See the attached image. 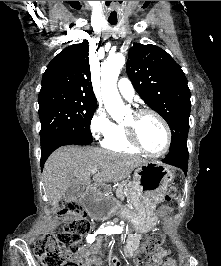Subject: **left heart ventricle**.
Wrapping results in <instances>:
<instances>
[{
  "instance_id": "obj_1",
  "label": "left heart ventricle",
  "mask_w": 221,
  "mask_h": 266,
  "mask_svg": "<svg viewBox=\"0 0 221 266\" xmlns=\"http://www.w3.org/2000/svg\"><path fill=\"white\" fill-rule=\"evenodd\" d=\"M136 122L137 135L141 144L151 152L160 151L165 144V131L161 123L152 115H144L135 120L130 114L125 124Z\"/></svg>"
}]
</instances>
